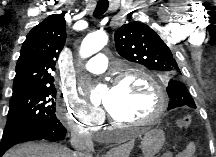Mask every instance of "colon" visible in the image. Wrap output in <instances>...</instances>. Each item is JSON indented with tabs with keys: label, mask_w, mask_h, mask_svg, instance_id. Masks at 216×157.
I'll return each instance as SVG.
<instances>
[{
	"label": "colon",
	"mask_w": 216,
	"mask_h": 157,
	"mask_svg": "<svg viewBox=\"0 0 216 157\" xmlns=\"http://www.w3.org/2000/svg\"><path fill=\"white\" fill-rule=\"evenodd\" d=\"M191 121L192 119L190 115H184L178 118L176 125L179 129L186 130L190 126Z\"/></svg>",
	"instance_id": "obj_1"
}]
</instances>
